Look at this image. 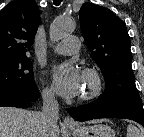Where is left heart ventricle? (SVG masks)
<instances>
[{
  "label": "left heart ventricle",
  "mask_w": 144,
  "mask_h": 137,
  "mask_svg": "<svg viewBox=\"0 0 144 137\" xmlns=\"http://www.w3.org/2000/svg\"><path fill=\"white\" fill-rule=\"evenodd\" d=\"M90 80L86 77H84V75H82V89H81V93L84 91H87L90 88Z\"/></svg>",
  "instance_id": "1"
}]
</instances>
